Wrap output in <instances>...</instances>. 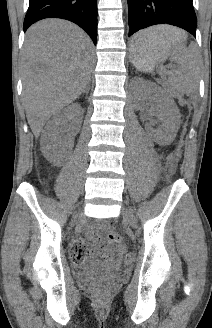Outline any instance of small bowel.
<instances>
[{"label": "small bowel", "mask_w": 212, "mask_h": 328, "mask_svg": "<svg viewBox=\"0 0 212 328\" xmlns=\"http://www.w3.org/2000/svg\"><path fill=\"white\" fill-rule=\"evenodd\" d=\"M87 240L77 239L73 242L71 252L76 254L80 261L84 260L91 252L99 253L104 260L105 267L118 268L121 264L122 253L113 246L101 242L98 238V229L90 226L86 232Z\"/></svg>", "instance_id": "c3829d8e"}]
</instances>
